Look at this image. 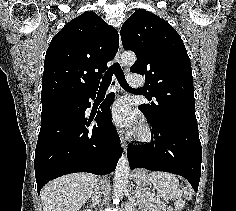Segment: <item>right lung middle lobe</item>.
Here are the masks:
<instances>
[{
    "label": "right lung middle lobe",
    "instance_id": "dd1d6c3e",
    "mask_svg": "<svg viewBox=\"0 0 236 211\" xmlns=\"http://www.w3.org/2000/svg\"><path fill=\"white\" fill-rule=\"evenodd\" d=\"M73 99H60V100H55L50 103H60V102H67V101H72Z\"/></svg>",
    "mask_w": 236,
    "mask_h": 211
}]
</instances>
